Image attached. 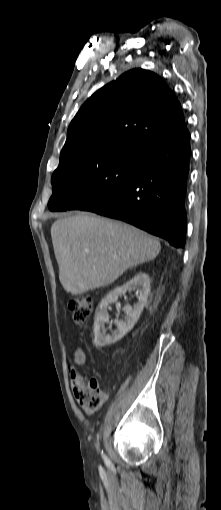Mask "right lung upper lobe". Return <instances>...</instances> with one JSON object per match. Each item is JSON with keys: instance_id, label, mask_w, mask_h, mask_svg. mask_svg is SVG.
<instances>
[{"instance_id": "cb5924a9", "label": "right lung upper lobe", "mask_w": 221, "mask_h": 510, "mask_svg": "<svg viewBox=\"0 0 221 510\" xmlns=\"http://www.w3.org/2000/svg\"><path fill=\"white\" fill-rule=\"evenodd\" d=\"M181 105L155 73L133 69L96 91L68 128L60 162L110 149L153 145L187 133Z\"/></svg>"}]
</instances>
